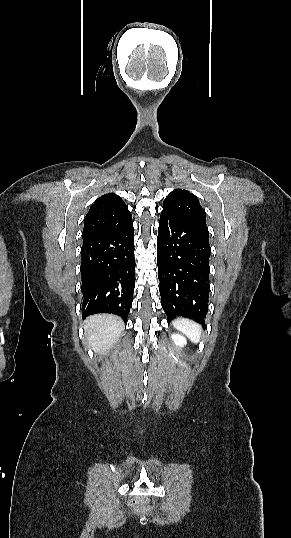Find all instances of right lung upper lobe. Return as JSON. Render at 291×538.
<instances>
[{
	"label": "right lung upper lobe",
	"instance_id": "cb5924a9",
	"mask_svg": "<svg viewBox=\"0 0 291 538\" xmlns=\"http://www.w3.org/2000/svg\"><path fill=\"white\" fill-rule=\"evenodd\" d=\"M132 221V215L120 196L113 193L98 198L84 219L83 240L117 230Z\"/></svg>",
	"mask_w": 291,
	"mask_h": 538
}]
</instances>
